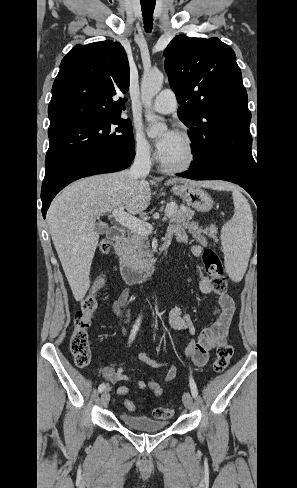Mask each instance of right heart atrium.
Wrapping results in <instances>:
<instances>
[{"mask_svg":"<svg viewBox=\"0 0 297 488\" xmlns=\"http://www.w3.org/2000/svg\"><path fill=\"white\" fill-rule=\"evenodd\" d=\"M133 148L135 154L143 159H149L153 153V147L139 127L133 130Z\"/></svg>","mask_w":297,"mask_h":488,"instance_id":"d8ad5b80","label":"right heart atrium"}]
</instances>
